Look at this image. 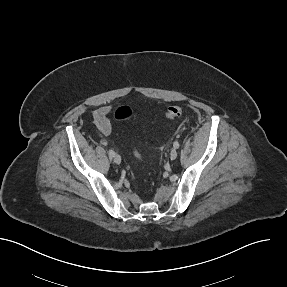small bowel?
<instances>
[{"instance_id": "small-bowel-1", "label": "small bowel", "mask_w": 287, "mask_h": 287, "mask_svg": "<svg viewBox=\"0 0 287 287\" xmlns=\"http://www.w3.org/2000/svg\"><path fill=\"white\" fill-rule=\"evenodd\" d=\"M111 111L112 106H103L95 110L92 114L97 129L105 136H109L113 132V126L109 120Z\"/></svg>"}]
</instances>
